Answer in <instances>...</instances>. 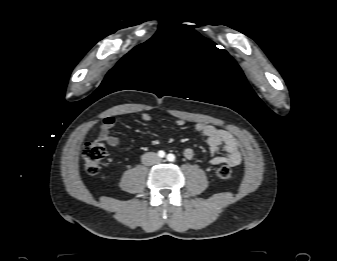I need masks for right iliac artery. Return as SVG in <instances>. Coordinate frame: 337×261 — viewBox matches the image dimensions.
Instances as JSON below:
<instances>
[{
	"instance_id": "right-iliac-artery-1",
	"label": "right iliac artery",
	"mask_w": 337,
	"mask_h": 261,
	"mask_svg": "<svg viewBox=\"0 0 337 261\" xmlns=\"http://www.w3.org/2000/svg\"><path fill=\"white\" fill-rule=\"evenodd\" d=\"M158 156L161 157V158H163L165 156V152L163 150H160L158 152Z\"/></svg>"
}]
</instances>
